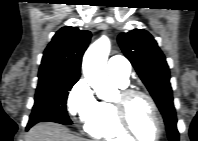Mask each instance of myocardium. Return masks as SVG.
<instances>
[{"label":"myocardium","instance_id":"1","mask_svg":"<svg viewBox=\"0 0 198 141\" xmlns=\"http://www.w3.org/2000/svg\"><path fill=\"white\" fill-rule=\"evenodd\" d=\"M135 97H142L149 103L152 112L155 116L156 126H157V135L153 141H158L161 138L164 129L163 120L155 100L153 99L152 96H150L144 91L137 89L123 88L119 92V99L114 100L112 102V106L115 112V117L120 127L131 138H134L136 140H142L137 136L135 131L132 129L128 118V105L130 100Z\"/></svg>","mask_w":198,"mask_h":141}]
</instances>
